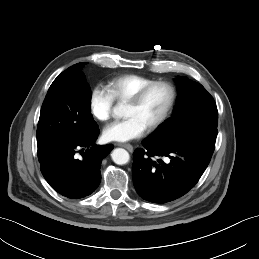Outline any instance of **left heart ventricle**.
<instances>
[{
    "mask_svg": "<svg viewBox=\"0 0 259 259\" xmlns=\"http://www.w3.org/2000/svg\"><path fill=\"white\" fill-rule=\"evenodd\" d=\"M168 96L169 94L165 87H154L139 105H126L124 115L125 117H135L147 128L163 112Z\"/></svg>",
    "mask_w": 259,
    "mask_h": 259,
    "instance_id": "obj_1",
    "label": "left heart ventricle"
}]
</instances>
